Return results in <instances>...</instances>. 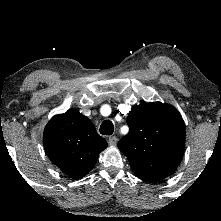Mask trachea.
Masks as SVG:
<instances>
[{"instance_id": "1", "label": "trachea", "mask_w": 221, "mask_h": 221, "mask_svg": "<svg viewBox=\"0 0 221 221\" xmlns=\"http://www.w3.org/2000/svg\"><path fill=\"white\" fill-rule=\"evenodd\" d=\"M113 131L114 125L110 120H105L100 126V133L102 135H112Z\"/></svg>"}]
</instances>
